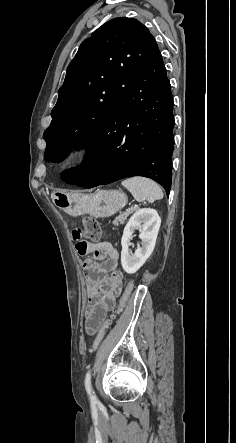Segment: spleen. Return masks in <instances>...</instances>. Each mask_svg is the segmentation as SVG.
Segmentation results:
<instances>
[{"mask_svg":"<svg viewBox=\"0 0 236 443\" xmlns=\"http://www.w3.org/2000/svg\"><path fill=\"white\" fill-rule=\"evenodd\" d=\"M122 185L129 190L138 202L147 200L153 203L163 198V191L159 185L144 177H132L122 181Z\"/></svg>","mask_w":236,"mask_h":443,"instance_id":"obj_1","label":"spleen"}]
</instances>
